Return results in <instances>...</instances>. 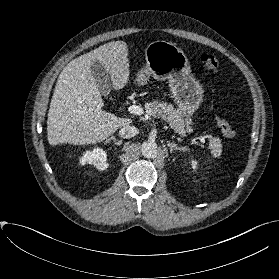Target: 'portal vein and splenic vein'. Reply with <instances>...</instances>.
Segmentation results:
<instances>
[{
    "instance_id": "18ae733b",
    "label": "portal vein and splenic vein",
    "mask_w": 279,
    "mask_h": 279,
    "mask_svg": "<svg viewBox=\"0 0 279 279\" xmlns=\"http://www.w3.org/2000/svg\"><path fill=\"white\" fill-rule=\"evenodd\" d=\"M128 111L131 113V114H135V115H142L144 114V110L141 106L139 105H131L128 107ZM199 140L205 144L206 141H205V137L204 136H199Z\"/></svg>"
}]
</instances>
